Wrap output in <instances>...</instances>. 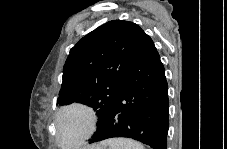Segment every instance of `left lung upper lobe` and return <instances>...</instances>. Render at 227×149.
Wrapping results in <instances>:
<instances>
[{"label":"left lung upper lobe","mask_w":227,"mask_h":149,"mask_svg":"<svg viewBox=\"0 0 227 149\" xmlns=\"http://www.w3.org/2000/svg\"><path fill=\"white\" fill-rule=\"evenodd\" d=\"M143 34L133 22L113 20L83 37L64 65L57 103L79 102L92 107L98 124L118 96Z\"/></svg>","instance_id":"5c2ea615"}]
</instances>
